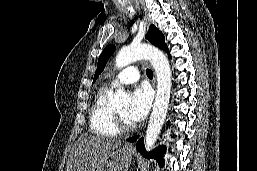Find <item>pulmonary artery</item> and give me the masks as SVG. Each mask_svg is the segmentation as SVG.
<instances>
[{
  "mask_svg": "<svg viewBox=\"0 0 257 171\" xmlns=\"http://www.w3.org/2000/svg\"><path fill=\"white\" fill-rule=\"evenodd\" d=\"M140 69L135 65H130L120 71L111 81L112 86L119 84H132L139 80Z\"/></svg>",
  "mask_w": 257,
  "mask_h": 171,
  "instance_id": "1",
  "label": "pulmonary artery"
}]
</instances>
